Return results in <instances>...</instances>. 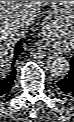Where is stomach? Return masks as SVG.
<instances>
[{
	"mask_svg": "<svg viewBox=\"0 0 74 122\" xmlns=\"http://www.w3.org/2000/svg\"><path fill=\"white\" fill-rule=\"evenodd\" d=\"M56 12L59 14L58 15V17L55 19V20H53L52 21V24L54 25V26H58V25H61V24H63L64 23V19H63V13H62V11H58V10H56Z\"/></svg>",
	"mask_w": 74,
	"mask_h": 122,
	"instance_id": "obj_1",
	"label": "stomach"
}]
</instances>
